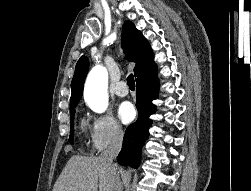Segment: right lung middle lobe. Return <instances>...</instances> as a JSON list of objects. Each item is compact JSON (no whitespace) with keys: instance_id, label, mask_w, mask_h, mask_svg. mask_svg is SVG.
Wrapping results in <instances>:
<instances>
[{"instance_id":"1","label":"right lung middle lobe","mask_w":251,"mask_h":191,"mask_svg":"<svg viewBox=\"0 0 251 191\" xmlns=\"http://www.w3.org/2000/svg\"><path fill=\"white\" fill-rule=\"evenodd\" d=\"M77 105L74 106H70V127H71V131H70V137H69V141L71 144H73V137H74V127H73V123H74V114H75V110L74 108Z\"/></svg>"}]
</instances>
